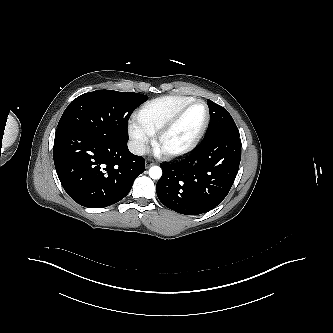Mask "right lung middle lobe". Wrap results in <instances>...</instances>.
<instances>
[{
    "instance_id": "dd1d6c3e",
    "label": "right lung middle lobe",
    "mask_w": 333,
    "mask_h": 333,
    "mask_svg": "<svg viewBox=\"0 0 333 333\" xmlns=\"http://www.w3.org/2000/svg\"><path fill=\"white\" fill-rule=\"evenodd\" d=\"M147 96L133 92L97 90L74 99L56 131H77L100 139L127 142L128 120Z\"/></svg>"
}]
</instances>
